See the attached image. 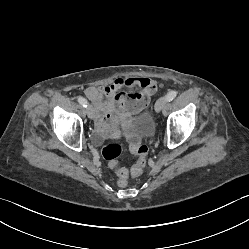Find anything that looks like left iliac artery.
Here are the masks:
<instances>
[{
  "label": "left iliac artery",
  "instance_id": "obj_1",
  "mask_svg": "<svg viewBox=\"0 0 249 249\" xmlns=\"http://www.w3.org/2000/svg\"><path fill=\"white\" fill-rule=\"evenodd\" d=\"M177 95V92L175 90H172L170 91L167 95H166V98H167V101H171L173 100Z\"/></svg>",
  "mask_w": 249,
  "mask_h": 249
}]
</instances>
